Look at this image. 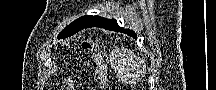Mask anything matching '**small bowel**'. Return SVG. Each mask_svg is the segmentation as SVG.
<instances>
[{
  "mask_svg": "<svg viewBox=\"0 0 216 90\" xmlns=\"http://www.w3.org/2000/svg\"><path fill=\"white\" fill-rule=\"evenodd\" d=\"M67 89L69 90H73V84H72V81L71 80H67Z\"/></svg>",
  "mask_w": 216,
  "mask_h": 90,
  "instance_id": "c3829d8e",
  "label": "small bowel"
}]
</instances>
